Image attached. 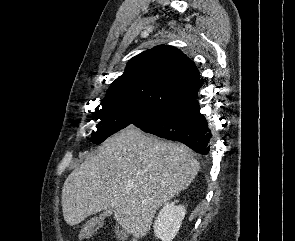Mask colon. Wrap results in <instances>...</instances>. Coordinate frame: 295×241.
I'll return each mask as SVG.
<instances>
[{
    "instance_id": "5ec220e1",
    "label": "colon",
    "mask_w": 295,
    "mask_h": 241,
    "mask_svg": "<svg viewBox=\"0 0 295 241\" xmlns=\"http://www.w3.org/2000/svg\"><path fill=\"white\" fill-rule=\"evenodd\" d=\"M119 237H120L121 239H126V238H127V235H126L124 232H120V233H119ZM132 241H134V240H132Z\"/></svg>"
}]
</instances>
